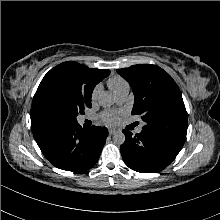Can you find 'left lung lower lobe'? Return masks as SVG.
I'll return each instance as SVG.
<instances>
[{"instance_id":"obj_1","label":"left lung lower lobe","mask_w":220,"mask_h":220,"mask_svg":"<svg viewBox=\"0 0 220 220\" xmlns=\"http://www.w3.org/2000/svg\"><path fill=\"white\" fill-rule=\"evenodd\" d=\"M126 136L120 151L126 165L142 173L159 172L167 167L178 155L181 147L141 131L135 136L123 130Z\"/></svg>"}]
</instances>
